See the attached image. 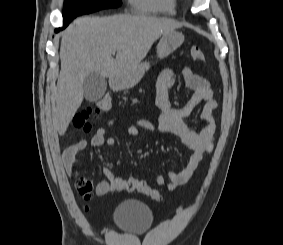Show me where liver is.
<instances>
[{
  "mask_svg": "<svg viewBox=\"0 0 283 245\" xmlns=\"http://www.w3.org/2000/svg\"><path fill=\"white\" fill-rule=\"evenodd\" d=\"M181 24L148 16L82 17L63 33L54 126L65 134L84 98L83 82L93 72L112 79L138 65L153 43ZM116 54L114 59L112 55Z\"/></svg>",
  "mask_w": 283,
  "mask_h": 245,
  "instance_id": "6515ba94",
  "label": "liver"
}]
</instances>
